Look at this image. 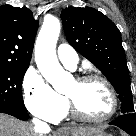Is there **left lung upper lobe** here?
I'll list each match as a JSON object with an SVG mask.
<instances>
[{"label":"left lung upper lobe","instance_id":"obj_1","mask_svg":"<svg viewBox=\"0 0 136 136\" xmlns=\"http://www.w3.org/2000/svg\"><path fill=\"white\" fill-rule=\"evenodd\" d=\"M61 19L70 44L107 77L119 94L122 114L133 113L129 70L116 25L90 7L63 9Z\"/></svg>","mask_w":136,"mask_h":136}]
</instances>
